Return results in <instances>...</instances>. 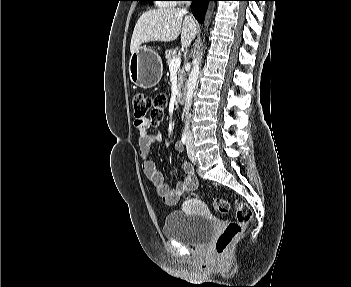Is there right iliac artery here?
<instances>
[{
    "label": "right iliac artery",
    "instance_id": "obj_1",
    "mask_svg": "<svg viewBox=\"0 0 351 287\" xmlns=\"http://www.w3.org/2000/svg\"><path fill=\"white\" fill-rule=\"evenodd\" d=\"M187 139H188L187 133H183L182 138H181V142L183 144H187Z\"/></svg>",
    "mask_w": 351,
    "mask_h": 287
}]
</instances>
